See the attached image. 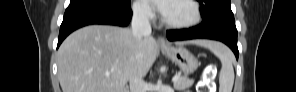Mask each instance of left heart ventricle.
<instances>
[{
	"label": "left heart ventricle",
	"mask_w": 296,
	"mask_h": 92,
	"mask_svg": "<svg viewBox=\"0 0 296 92\" xmlns=\"http://www.w3.org/2000/svg\"><path fill=\"white\" fill-rule=\"evenodd\" d=\"M164 17L171 22H186L193 18V10L186 2L173 1Z\"/></svg>",
	"instance_id": "b2bd125f"
}]
</instances>
